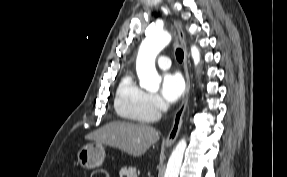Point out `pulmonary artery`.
<instances>
[{
	"label": "pulmonary artery",
	"mask_w": 287,
	"mask_h": 177,
	"mask_svg": "<svg viewBox=\"0 0 287 177\" xmlns=\"http://www.w3.org/2000/svg\"><path fill=\"white\" fill-rule=\"evenodd\" d=\"M157 64L162 69H167L171 66L169 57L165 55L158 57Z\"/></svg>",
	"instance_id": "1"
}]
</instances>
